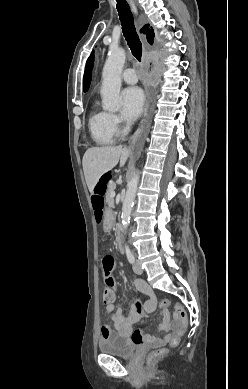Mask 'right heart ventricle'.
<instances>
[{"label": "right heart ventricle", "instance_id": "right-heart-ventricle-1", "mask_svg": "<svg viewBox=\"0 0 248 389\" xmlns=\"http://www.w3.org/2000/svg\"><path fill=\"white\" fill-rule=\"evenodd\" d=\"M88 128L92 140L98 145H110L115 141L111 114L97 105L93 107L89 116Z\"/></svg>", "mask_w": 248, "mask_h": 389}]
</instances>
